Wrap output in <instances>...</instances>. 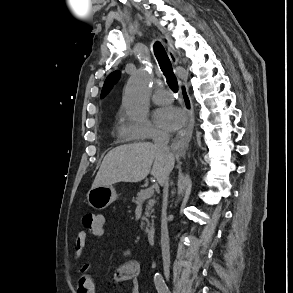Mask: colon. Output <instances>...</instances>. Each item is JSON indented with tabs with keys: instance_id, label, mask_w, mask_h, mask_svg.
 I'll return each mask as SVG.
<instances>
[{
	"instance_id": "colon-1",
	"label": "colon",
	"mask_w": 293,
	"mask_h": 293,
	"mask_svg": "<svg viewBox=\"0 0 293 293\" xmlns=\"http://www.w3.org/2000/svg\"><path fill=\"white\" fill-rule=\"evenodd\" d=\"M83 226L91 233H98L103 227V219L92 212H87L82 217Z\"/></svg>"
}]
</instances>
